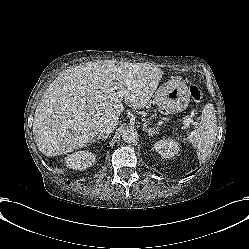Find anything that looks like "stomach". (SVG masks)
Wrapping results in <instances>:
<instances>
[{
  "label": "stomach",
  "mask_w": 249,
  "mask_h": 249,
  "mask_svg": "<svg viewBox=\"0 0 249 249\" xmlns=\"http://www.w3.org/2000/svg\"><path fill=\"white\" fill-rule=\"evenodd\" d=\"M154 100L166 112L178 113L187 108L190 95L184 83L175 81L160 87L154 95Z\"/></svg>",
  "instance_id": "1"
}]
</instances>
